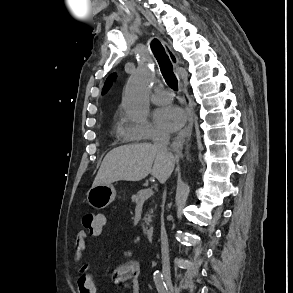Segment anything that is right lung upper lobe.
I'll use <instances>...</instances> for the list:
<instances>
[{
  "mask_svg": "<svg viewBox=\"0 0 293 293\" xmlns=\"http://www.w3.org/2000/svg\"><path fill=\"white\" fill-rule=\"evenodd\" d=\"M115 78H116V74H112V75H110L108 78H107V80H106V82H105V84H104V87H103V93H106L107 92V90L109 89V87L111 86V83H112V80H115Z\"/></svg>",
  "mask_w": 293,
  "mask_h": 293,
  "instance_id": "right-lung-upper-lobe-1",
  "label": "right lung upper lobe"
}]
</instances>
